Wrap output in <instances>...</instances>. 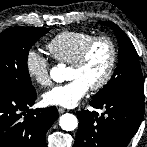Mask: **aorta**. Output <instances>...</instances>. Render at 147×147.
<instances>
[{
    "mask_svg": "<svg viewBox=\"0 0 147 147\" xmlns=\"http://www.w3.org/2000/svg\"><path fill=\"white\" fill-rule=\"evenodd\" d=\"M50 77L53 81L61 83L66 80V67L63 64H58L50 70ZM61 128L65 131H73L78 126L77 117L73 114L66 113L59 119Z\"/></svg>",
    "mask_w": 147,
    "mask_h": 147,
    "instance_id": "1",
    "label": "aorta"
}]
</instances>
